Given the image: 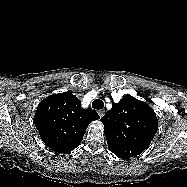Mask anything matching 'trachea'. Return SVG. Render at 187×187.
I'll list each match as a JSON object with an SVG mask.
<instances>
[{
	"label": "trachea",
	"mask_w": 187,
	"mask_h": 187,
	"mask_svg": "<svg viewBox=\"0 0 187 187\" xmlns=\"http://www.w3.org/2000/svg\"><path fill=\"white\" fill-rule=\"evenodd\" d=\"M103 107H104V102L100 99H96L92 102V108L94 109L99 110V109H103Z\"/></svg>",
	"instance_id": "trachea-1"
}]
</instances>
